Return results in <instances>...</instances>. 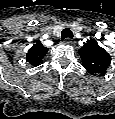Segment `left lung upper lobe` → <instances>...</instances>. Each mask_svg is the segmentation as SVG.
Segmentation results:
<instances>
[{
  "mask_svg": "<svg viewBox=\"0 0 115 119\" xmlns=\"http://www.w3.org/2000/svg\"><path fill=\"white\" fill-rule=\"evenodd\" d=\"M84 68L90 74H105L111 63V56L96 40H88L79 50Z\"/></svg>",
  "mask_w": 115,
  "mask_h": 119,
  "instance_id": "obj_1",
  "label": "left lung upper lobe"
}]
</instances>
